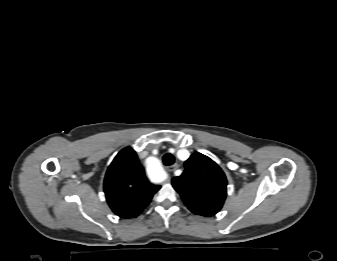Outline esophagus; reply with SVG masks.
<instances>
[{
  "mask_svg": "<svg viewBox=\"0 0 337 261\" xmlns=\"http://www.w3.org/2000/svg\"><path fill=\"white\" fill-rule=\"evenodd\" d=\"M177 167H178V165L177 164H174V165H172V166H168V167H166V169H167V171H174V170H176L177 169Z\"/></svg>",
  "mask_w": 337,
  "mask_h": 261,
  "instance_id": "1",
  "label": "esophagus"
}]
</instances>
